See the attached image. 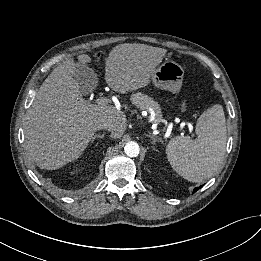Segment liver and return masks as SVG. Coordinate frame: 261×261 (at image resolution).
<instances>
[{"mask_svg":"<svg viewBox=\"0 0 261 261\" xmlns=\"http://www.w3.org/2000/svg\"><path fill=\"white\" fill-rule=\"evenodd\" d=\"M167 50L144 44H120L105 63V81L125 94L149 84ZM86 65L91 57L78 56ZM79 63L67 59L45 79L29 108L24 125L27 154L41 169L56 170L77 160L102 123L112 125V137L126 131L123 111L85 100L74 78Z\"/></svg>","mask_w":261,"mask_h":261,"instance_id":"1","label":"liver"}]
</instances>
